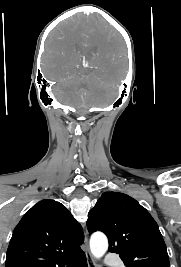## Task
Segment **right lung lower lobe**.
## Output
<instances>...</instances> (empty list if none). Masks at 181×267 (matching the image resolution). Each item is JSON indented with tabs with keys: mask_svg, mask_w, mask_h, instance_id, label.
I'll return each mask as SVG.
<instances>
[{
	"mask_svg": "<svg viewBox=\"0 0 181 267\" xmlns=\"http://www.w3.org/2000/svg\"><path fill=\"white\" fill-rule=\"evenodd\" d=\"M62 267H88L84 252L68 260Z\"/></svg>",
	"mask_w": 181,
	"mask_h": 267,
	"instance_id": "obj_1",
	"label": "right lung lower lobe"
}]
</instances>
